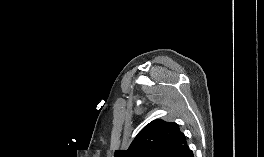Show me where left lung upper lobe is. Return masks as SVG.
Segmentation results:
<instances>
[{"label": "left lung upper lobe", "mask_w": 264, "mask_h": 157, "mask_svg": "<svg viewBox=\"0 0 264 157\" xmlns=\"http://www.w3.org/2000/svg\"><path fill=\"white\" fill-rule=\"evenodd\" d=\"M192 154L179 126L157 119L138 133L127 150H116L114 157H191Z\"/></svg>", "instance_id": "left-lung-upper-lobe-1"}]
</instances>
